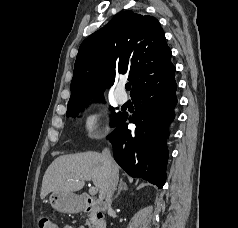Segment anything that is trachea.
Segmentation results:
<instances>
[{
	"label": "trachea",
	"mask_w": 238,
	"mask_h": 228,
	"mask_svg": "<svg viewBox=\"0 0 238 228\" xmlns=\"http://www.w3.org/2000/svg\"><path fill=\"white\" fill-rule=\"evenodd\" d=\"M131 89V84H126V90H130Z\"/></svg>",
	"instance_id": "3493384b"
}]
</instances>
